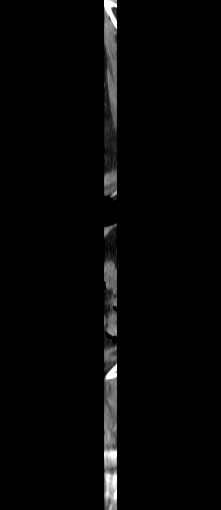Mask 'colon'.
<instances>
[{"label":"colon","instance_id":"1","mask_svg":"<svg viewBox=\"0 0 221 510\" xmlns=\"http://www.w3.org/2000/svg\"><path fill=\"white\" fill-rule=\"evenodd\" d=\"M93 283L96 286L97 293L100 295L97 299L99 314L103 311V293L107 289H115L119 292L122 287V278L119 272L112 271L103 261H100L93 268ZM116 311L117 314L113 318L109 328V336L113 339V341L120 344L126 340L129 330L119 307H117Z\"/></svg>","mask_w":221,"mask_h":510}]
</instances>
